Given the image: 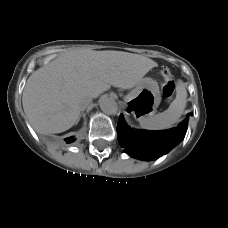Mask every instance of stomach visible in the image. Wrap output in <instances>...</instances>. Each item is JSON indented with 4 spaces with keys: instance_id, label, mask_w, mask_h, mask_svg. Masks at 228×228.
Wrapping results in <instances>:
<instances>
[{
    "instance_id": "0dacf381",
    "label": "stomach",
    "mask_w": 228,
    "mask_h": 228,
    "mask_svg": "<svg viewBox=\"0 0 228 228\" xmlns=\"http://www.w3.org/2000/svg\"><path fill=\"white\" fill-rule=\"evenodd\" d=\"M130 110L139 120L153 116L161 102V94L157 82L151 78L142 79L126 96Z\"/></svg>"
}]
</instances>
